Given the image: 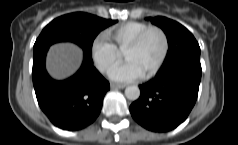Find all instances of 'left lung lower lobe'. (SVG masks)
<instances>
[{"label":"left lung lower lobe","instance_id":"0a47b994","mask_svg":"<svg viewBox=\"0 0 238 145\" xmlns=\"http://www.w3.org/2000/svg\"><path fill=\"white\" fill-rule=\"evenodd\" d=\"M200 56L161 68L140 85L141 95L130 106L132 117L153 132H167L186 120L195 105L201 80Z\"/></svg>","mask_w":238,"mask_h":145}]
</instances>
